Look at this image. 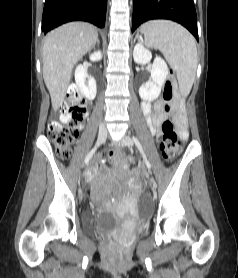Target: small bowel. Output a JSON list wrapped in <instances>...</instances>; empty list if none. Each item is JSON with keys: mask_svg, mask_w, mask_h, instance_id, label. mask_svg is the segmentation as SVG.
I'll return each instance as SVG.
<instances>
[{"mask_svg": "<svg viewBox=\"0 0 238 278\" xmlns=\"http://www.w3.org/2000/svg\"><path fill=\"white\" fill-rule=\"evenodd\" d=\"M173 120L177 127L179 136L186 140L188 138V131L186 128V119L183 110V102L180 98H177L173 102ZM142 111L150 132L159 137L161 135V126L164 120L167 118L170 112L165 110V100L159 99L156 101L154 108H152L149 102H143ZM60 120L64 123L70 120V116L67 114H62Z\"/></svg>", "mask_w": 238, "mask_h": 278, "instance_id": "obj_1", "label": "small bowel"}]
</instances>
